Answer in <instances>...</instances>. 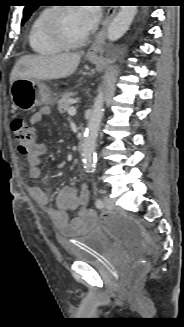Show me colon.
I'll use <instances>...</instances> for the list:
<instances>
[{
	"instance_id": "5ec220e1",
	"label": "colon",
	"mask_w": 184,
	"mask_h": 327,
	"mask_svg": "<svg viewBox=\"0 0 184 327\" xmlns=\"http://www.w3.org/2000/svg\"><path fill=\"white\" fill-rule=\"evenodd\" d=\"M11 131L16 141L17 148L22 154H29L36 145V132L33 127L21 118H16L11 123ZM102 222L108 227L111 235L119 241L132 246H145L148 237L140 225L131 218L121 215H103ZM147 270L146 261L140 259L136 262L133 274L137 281Z\"/></svg>"
}]
</instances>
